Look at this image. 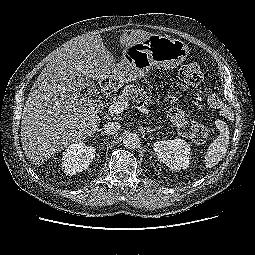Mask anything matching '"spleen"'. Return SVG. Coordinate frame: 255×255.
Returning a JSON list of instances; mask_svg holds the SVG:
<instances>
[{"instance_id": "obj_1", "label": "spleen", "mask_w": 255, "mask_h": 255, "mask_svg": "<svg viewBox=\"0 0 255 255\" xmlns=\"http://www.w3.org/2000/svg\"><path fill=\"white\" fill-rule=\"evenodd\" d=\"M218 129L220 131L219 136L210 144L205 154V166L206 168H212L217 165L219 161L226 155L229 146L230 131L228 126L220 121L218 123Z\"/></svg>"}]
</instances>
